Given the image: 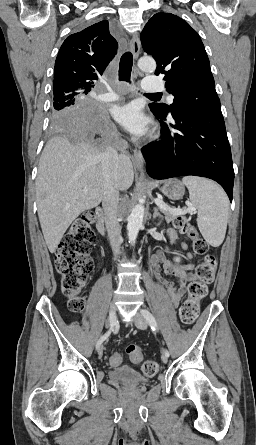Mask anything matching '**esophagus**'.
I'll return each instance as SVG.
<instances>
[{"mask_svg": "<svg viewBox=\"0 0 256 445\" xmlns=\"http://www.w3.org/2000/svg\"><path fill=\"white\" fill-rule=\"evenodd\" d=\"M130 50H131L134 58L137 59L140 54V40H139L138 35H134L132 37V39L130 40ZM132 160H133L134 166L138 170L143 171L144 158H143L139 148H134Z\"/></svg>", "mask_w": 256, "mask_h": 445, "instance_id": "obj_1", "label": "esophagus"}]
</instances>
